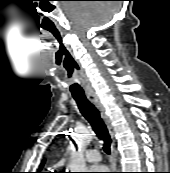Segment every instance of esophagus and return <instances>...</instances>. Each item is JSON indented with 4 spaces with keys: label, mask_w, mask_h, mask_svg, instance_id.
<instances>
[{
    "label": "esophagus",
    "mask_w": 170,
    "mask_h": 173,
    "mask_svg": "<svg viewBox=\"0 0 170 173\" xmlns=\"http://www.w3.org/2000/svg\"><path fill=\"white\" fill-rule=\"evenodd\" d=\"M87 98L96 106V108L99 110L111 137V156H110V163H111V169L112 172H115L116 170V162H117V151L115 148V135H114V130L110 121L109 116L106 113L105 107L101 103L99 97L97 94L93 91H89L86 93Z\"/></svg>",
    "instance_id": "34e87169"
}]
</instances>
